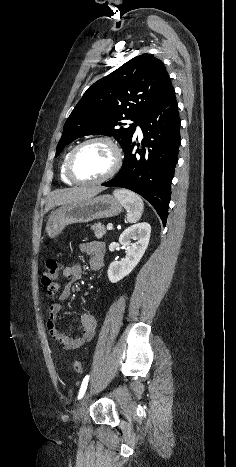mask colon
Wrapping results in <instances>:
<instances>
[{"mask_svg": "<svg viewBox=\"0 0 236 467\" xmlns=\"http://www.w3.org/2000/svg\"><path fill=\"white\" fill-rule=\"evenodd\" d=\"M60 267V262L56 258H49L45 261L42 273V284L47 289L51 288L56 283ZM73 369L77 373H82L83 367L81 362L78 360L74 361Z\"/></svg>", "mask_w": 236, "mask_h": 467, "instance_id": "5ec220e1", "label": "colon"}]
</instances>
